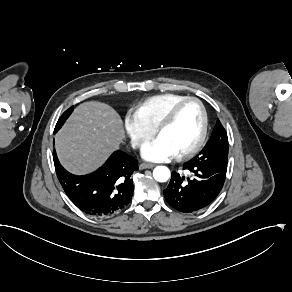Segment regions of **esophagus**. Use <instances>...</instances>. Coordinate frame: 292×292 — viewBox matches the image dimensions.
<instances>
[{
    "label": "esophagus",
    "mask_w": 292,
    "mask_h": 292,
    "mask_svg": "<svg viewBox=\"0 0 292 292\" xmlns=\"http://www.w3.org/2000/svg\"><path fill=\"white\" fill-rule=\"evenodd\" d=\"M155 166V164H150V163H141L139 165V169L143 170V169H151Z\"/></svg>",
    "instance_id": "1"
}]
</instances>
